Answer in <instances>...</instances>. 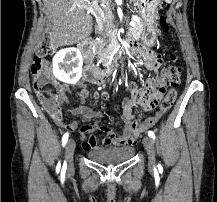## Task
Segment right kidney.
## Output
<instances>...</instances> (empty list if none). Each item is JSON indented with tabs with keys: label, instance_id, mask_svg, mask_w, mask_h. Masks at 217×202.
I'll list each match as a JSON object with an SVG mask.
<instances>
[{
	"label": "right kidney",
	"instance_id": "1",
	"mask_svg": "<svg viewBox=\"0 0 217 202\" xmlns=\"http://www.w3.org/2000/svg\"><path fill=\"white\" fill-rule=\"evenodd\" d=\"M83 60L78 48L60 50L53 58V74L61 82L77 84L82 78Z\"/></svg>",
	"mask_w": 217,
	"mask_h": 202
}]
</instances>
